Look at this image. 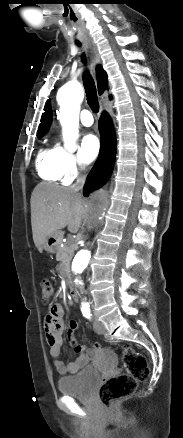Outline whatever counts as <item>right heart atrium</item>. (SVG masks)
I'll return each instance as SVG.
<instances>
[{
  "instance_id": "1",
  "label": "right heart atrium",
  "mask_w": 183,
  "mask_h": 438,
  "mask_svg": "<svg viewBox=\"0 0 183 438\" xmlns=\"http://www.w3.org/2000/svg\"><path fill=\"white\" fill-rule=\"evenodd\" d=\"M58 167L65 181L76 178L83 168L80 156L64 147L58 146Z\"/></svg>"
}]
</instances>
